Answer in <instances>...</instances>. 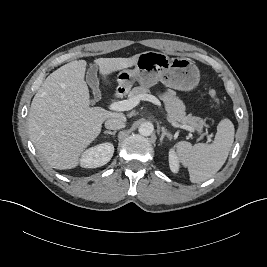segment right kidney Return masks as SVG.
I'll use <instances>...</instances> for the list:
<instances>
[{"mask_svg": "<svg viewBox=\"0 0 267 267\" xmlns=\"http://www.w3.org/2000/svg\"><path fill=\"white\" fill-rule=\"evenodd\" d=\"M114 153V146L109 142L87 149L81 156L80 165L84 168H96L107 164Z\"/></svg>", "mask_w": 267, "mask_h": 267, "instance_id": "ca27d5eb", "label": "right kidney"}]
</instances>
